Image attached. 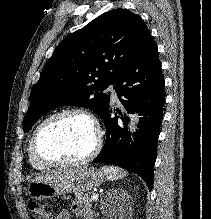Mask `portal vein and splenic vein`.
I'll list each match as a JSON object with an SVG mask.
<instances>
[{
  "label": "portal vein and splenic vein",
  "instance_id": "1",
  "mask_svg": "<svg viewBox=\"0 0 211 219\" xmlns=\"http://www.w3.org/2000/svg\"><path fill=\"white\" fill-rule=\"evenodd\" d=\"M92 198H93L94 200H96V199L98 198V194H97V193H93Z\"/></svg>",
  "mask_w": 211,
  "mask_h": 219
}]
</instances>
